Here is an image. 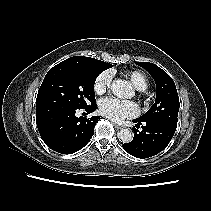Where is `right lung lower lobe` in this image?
I'll return each mask as SVG.
<instances>
[{
    "mask_svg": "<svg viewBox=\"0 0 211 211\" xmlns=\"http://www.w3.org/2000/svg\"><path fill=\"white\" fill-rule=\"evenodd\" d=\"M96 104L84 110L90 114ZM75 108L43 106L36 108V123L44 143L62 154H72L83 148L94 134L101 116L77 117Z\"/></svg>",
    "mask_w": 211,
    "mask_h": 211,
    "instance_id": "98d812e1",
    "label": "right lung lower lobe"
}]
</instances>
